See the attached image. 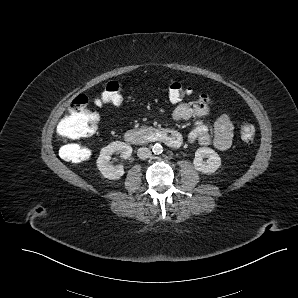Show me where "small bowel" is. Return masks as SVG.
Here are the masks:
<instances>
[{
    "mask_svg": "<svg viewBox=\"0 0 298 298\" xmlns=\"http://www.w3.org/2000/svg\"><path fill=\"white\" fill-rule=\"evenodd\" d=\"M213 101L206 95H200L189 102L178 103L171 116L174 120H187L192 117H204L211 113ZM164 113L163 108L159 109ZM189 140L202 146L213 145L221 151L228 150L233 141V124L227 113L221 114L214 122L213 133L208 124L196 126L189 134Z\"/></svg>",
    "mask_w": 298,
    "mask_h": 298,
    "instance_id": "small-bowel-1",
    "label": "small bowel"
}]
</instances>
